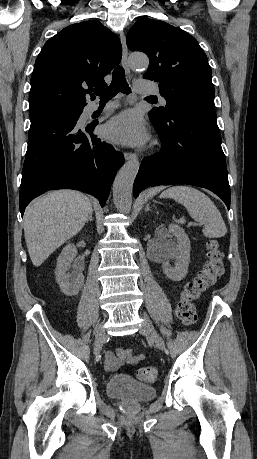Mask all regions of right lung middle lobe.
I'll use <instances>...</instances> for the list:
<instances>
[{"label":"right lung middle lobe","mask_w":257,"mask_h":459,"mask_svg":"<svg viewBox=\"0 0 257 459\" xmlns=\"http://www.w3.org/2000/svg\"><path fill=\"white\" fill-rule=\"evenodd\" d=\"M83 110V107H65V108H58V109H52V110H46V111H41L37 112L35 114H63V115H77L81 113ZM34 115V114H30Z\"/></svg>","instance_id":"right-lung-middle-lobe-1"}]
</instances>
